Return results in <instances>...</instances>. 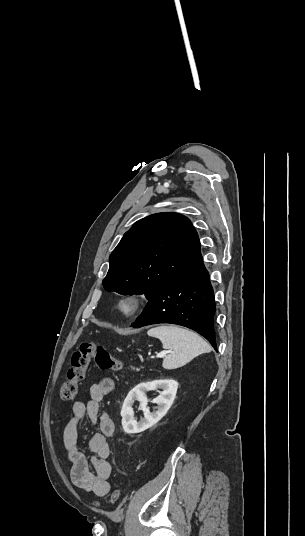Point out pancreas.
<instances>
[{
  "label": "pancreas",
  "mask_w": 305,
  "mask_h": 536,
  "mask_svg": "<svg viewBox=\"0 0 305 536\" xmlns=\"http://www.w3.org/2000/svg\"><path fill=\"white\" fill-rule=\"evenodd\" d=\"M130 368H132V370H136V372H140V368H133V366H130Z\"/></svg>",
  "instance_id": "1"
}]
</instances>
